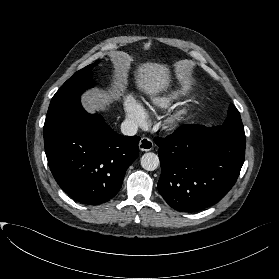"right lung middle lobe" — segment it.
Instances as JSON below:
<instances>
[{"mask_svg": "<svg viewBox=\"0 0 279 279\" xmlns=\"http://www.w3.org/2000/svg\"><path fill=\"white\" fill-rule=\"evenodd\" d=\"M98 62L90 64L77 71L69 78L53 96L47 112L45 123L56 119L80 100V95L95 85L92 79V69Z\"/></svg>", "mask_w": 279, "mask_h": 279, "instance_id": "right-lung-middle-lobe-1", "label": "right lung middle lobe"}]
</instances>
